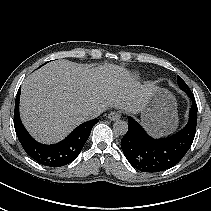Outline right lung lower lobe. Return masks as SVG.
<instances>
[{
	"label": "right lung lower lobe",
	"instance_id": "obj_1",
	"mask_svg": "<svg viewBox=\"0 0 211 211\" xmlns=\"http://www.w3.org/2000/svg\"><path fill=\"white\" fill-rule=\"evenodd\" d=\"M20 90L21 87L18 90L15 101L14 127L25 152L39 164L49 167H61L75 160L86 143L92 127L98 122V119L82 123L57 144L45 145L38 143L29 135L21 122L19 116Z\"/></svg>",
	"mask_w": 211,
	"mask_h": 211
}]
</instances>
